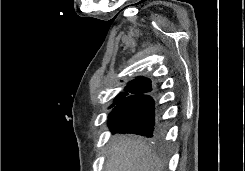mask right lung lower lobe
Here are the masks:
<instances>
[{
    "label": "right lung lower lobe",
    "instance_id": "1",
    "mask_svg": "<svg viewBox=\"0 0 245 171\" xmlns=\"http://www.w3.org/2000/svg\"><path fill=\"white\" fill-rule=\"evenodd\" d=\"M108 125L113 133L157 136L160 126L155 123V101L150 95L122 101L109 114Z\"/></svg>",
    "mask_w": 245,
    "mask_h": 171
}]
</instances>
